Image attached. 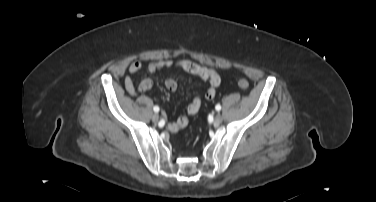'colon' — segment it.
Here are the masks:
<instances>
[{"label":"colon","mask_w":376,"mask_h":202,"mask_svg":"<svg viewBox=\"0 0 376 202\" xmlns=\"http://www.w3.org/2000/svg\"><path fill=\"white\" fill-rule=\"evenodd\" d=\"M237 85L241 89H247L249 87V82L247 79L241 77L237 79Z\"/></svg>","instance_id":"colon-1"}]
</instances>
